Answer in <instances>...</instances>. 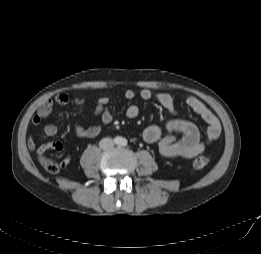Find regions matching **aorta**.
<instances>
[{
	"instance_id": "obj_1",
	"label": "aorta",
	"mask_w": 261,
	"mask_h": 254,
	"mask_svg": "<svg viewBox=\"0 0 261 254\" xmlns=\"http://www.w3.org/2000/svg\"><path fill=\"white\" fill-rule=\"evenodd\" d=\"M123 141H126V140L124 138H121L119 143L122 144Z\"/></svg>"
}]
</instances>
